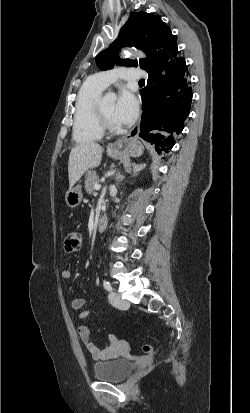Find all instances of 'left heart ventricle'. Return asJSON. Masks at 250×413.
Listing matches in <instances>:
<instances>
[{"mask_svg":"<svg viewBox=\"0 0 250 413\" xmlns=\"http://www.w3.org/2000/svg\"><path fill=\"white\" fill-rule=\"evenodd\" d=\"M101 107L103 111L113 120L115 121L114 118V110H115V102L113 100L110 101H103L101 103Z\"/></svg>","mask_w":250,"mask_h":413,"instance_id":"1","label":"left heart ventricle"}]
</instances>
